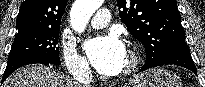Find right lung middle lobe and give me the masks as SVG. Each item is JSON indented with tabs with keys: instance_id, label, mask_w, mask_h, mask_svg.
<instances>
[{
	"instance_id": "obj_1",
	"label": "right lung middle lobe",
	"mask_w": 205,
	"mask_h": 87,
	"mask_svg": "<svg viewBox=\"0 0 205 87\" xmlns=\"http://www.w3.org/2000/svg\"><path fill=\"white\" fill-rule=\"evenodd\" d=\"M59 29H32L19 31L14 39L9 58L33 57L51 64L61 63L56 46Z\"/></svg>"
}]
</instances>
